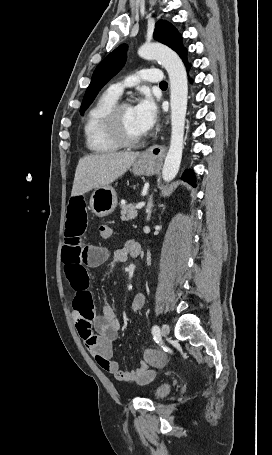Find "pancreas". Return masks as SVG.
Listing matches in <instances>:
<instances>
[{
  "mask_svg": "<svg viewBox=\"0 0 272 455\" xmlns=\"http://www.w3.org/2000/svg\"><path fill=\"white\" fill-rule=\"evenodd\" d=\"M137 216L136 207L134 204H126L121 206V220L129 221Z\"/></svg>",
  "mask_w": 272,
  "mask_h": 455,
  "instance_id": "cf45deb5",
  "label": "pancreas"
}]
</instances>
